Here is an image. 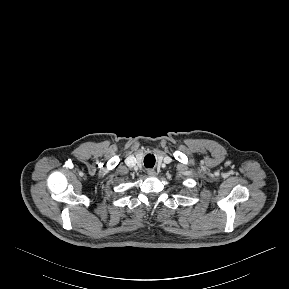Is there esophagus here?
<instances>
[{"label":"esophagus","mask_w":289,"mask_h":289,"mask_svg":"<svg viewBox=\"0 0 289 289\" xmlns=\"http://www.w3.org/2000/svg\"><path fill=\"white\" fill-rule=\"evenodd\" d=\"M147 174H148L149 176H155V175H156V171H155L154 169H148V170H147Z\"/></svg>","instance_id":"obj_1"}]
</instances>
